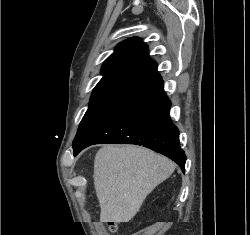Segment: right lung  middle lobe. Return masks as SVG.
Returning <instances> with one entry per match:
<instances>
[{"instance_id": "1", "label": "right lung middle lobe", "mask_w": 250, "mask_h": 235, "mask_svg": "<svg viewBox=\"0 0 250 235\" xmlns=\"http://www.w3.org/2000/svg\"><path fill=\"white\" fill-rule=\"evenodd\" d=\"M129 98V96L91 97L89 108L79 125L73 145L78 143L90 130L108 117Z\"/></svg>"}]
</instances>
